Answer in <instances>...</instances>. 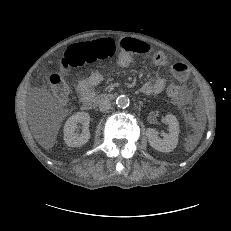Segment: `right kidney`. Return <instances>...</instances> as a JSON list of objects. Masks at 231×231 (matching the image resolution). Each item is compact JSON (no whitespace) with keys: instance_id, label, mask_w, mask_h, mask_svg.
<instances>
[{"instance_id":"1","label":"right kidney","mask_w":231,"mask_h":231,"mask_svg":"<svg viewBox=\"0 0 231 231\" xmlns=\"http://www.w3.org/2000/svg\"><path fill=\"white\" fill-rule=\"evenodd\" d=\"M90 116L86 112H77L70 116L64 125V141L69 147H81L90 139V131L88 129ZM77 123L83 125L81 134L75 133Z\"/></svg>"}]
</instances>
